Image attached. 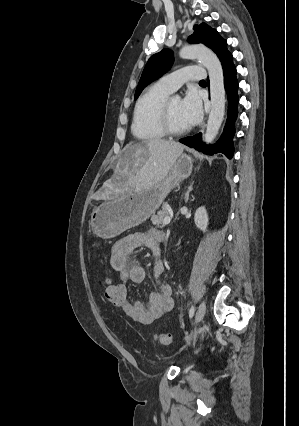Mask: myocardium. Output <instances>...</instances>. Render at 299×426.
Here are the masks:
<instances>
[{
	"label": "myocardium",
	"instance_id": "f54148a6",
	"mask_svg": "<svg viewBox=\"0 0 299 426\" xmlns=\"http://www.w3.org/2000/svg\"><path fill=\"white\" fill-rule=\"evenodd\" d=\"M172 98H167L160 110L159 113V123L160 127L166 135L178 136L185 134L189 131V126L183 128H175L170 119V103Z\"/></svg>",
	"mask_w": 299,
	"mask_h": 426
}]
</instances>
